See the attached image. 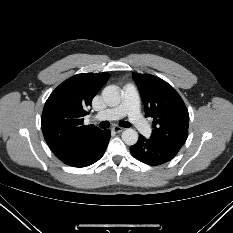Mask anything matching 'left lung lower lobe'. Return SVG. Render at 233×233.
<instances>
[{
  "instance_id": "0a47b994",
  "label": "left lung lower lobe",
  "mask_w": 233,
  "mask_h": 233,
  "mask_svg": "<svg viewBox=\"0 0 233 233\" xmlns=\"http://www.w3.org/2000/svg\"><path fill=\"white\" fill-rule=\"evenodd\" d=\"M131 154L148 165H160L172 160L178 151L153 143L139 135L138 142L130 147Z\"/></svg>"
}]
</instances>
